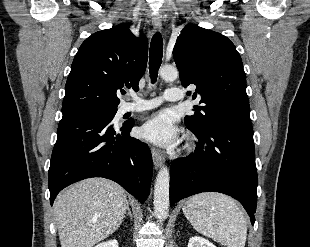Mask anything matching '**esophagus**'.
<instances>
[{
	"mask_svg": "<svg viewBox=\"0 0 310 247\" xmlns=\"http://www.w3.org/2000/svg\"><path fill=\"white\" fill-rule=\"evenodd\" d=\"M152 25L156 31H160L162 29V22L159 15H154L152 17ZM151 152H152L153 164L155 168L158 169L163 165L164 162L163 156L155 148H152Z\"/></svg>",
	"mask_w": 310,
	"mask_h": 247,
	"instance_id": "34e87169",
	"label": "esophagus"
}]
</instances>
